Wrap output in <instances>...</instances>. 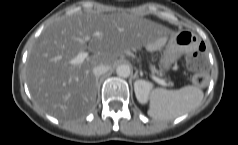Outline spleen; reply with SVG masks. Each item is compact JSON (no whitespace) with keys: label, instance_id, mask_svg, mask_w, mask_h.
Listing matches in <instances>:
<instances>
[{"label":"spleen","instance_id":"1","mask_svg":"<svg viewBox=\"0 0 238 145\" xmlns=\"http://www.w3.org/2000/svg\"><path fill=\"white\" fill-rule=\"evenodd\" d=\"M203 97L202 89L192 85H187L179 90L156 88L151 93L147 113L156 120H173L197 108Z\"/></svg>","mask_w":238,"mask_h":145}]
</instances>
